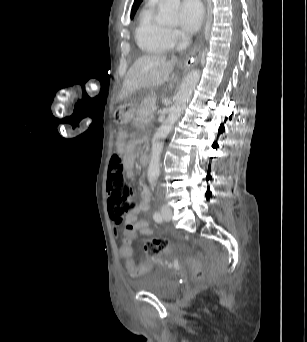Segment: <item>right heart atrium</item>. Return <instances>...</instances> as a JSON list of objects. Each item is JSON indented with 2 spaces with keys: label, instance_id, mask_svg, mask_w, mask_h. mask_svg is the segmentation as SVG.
<instances>
[{
  "label": "right heart atrium",
  "instance_id": "right-heart-atrium-1",
  "mask_svg": "<svg viewBox=\"0 0 307 342\" xmlns=\"http://www.w3.org/2000/svg\"><path fill=\"white\" fill-rule=\"evenodd\" d=\"M167 39L171 42H174L176 40V34H171V35L167 36Z\"/></svg>",
  "mask_w": 307,
  "mask_h": 342
}]
</instances>
